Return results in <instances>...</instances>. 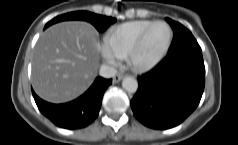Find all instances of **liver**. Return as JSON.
Masks as SVG:
<instances>
[{"instance_id":"liver-1","label":"liver","mask_w":238,"mask_h":145,"mask_svg":"<svg viewBox=\"0 0 238 145\" xmlns=\"http://www.w3.org/2000/svg\"><path fill=\"white\" fill-rule=\"evenodd\" d=\"M99 49V34L87 22L49 27L34 49L31 81L36 94L52 103L80 96L97 75Z\"/></svg>"}]
</instances>
